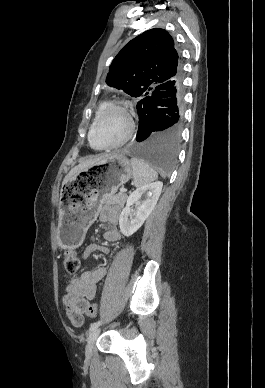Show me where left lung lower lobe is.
Masks as SVG:
<instances>
[{
    "mask_svg": "<svg viewBox=\"0 0 265 388\" xmlns=\"http://www.w3.org/2000/svg\"><path fill=\"white\" fill-rule=\"evenodd\" d=\"M183 78L159 85L154 95L140 101L136 107L139 126L136 143L129 152L164 171L175 163L183 121Z\"/></svg>",
    "mask_w": 265,
    "mask_h": 388,
    "instance_id": "1",
    "label": "left lung lower lobe"
}]
</instances>
